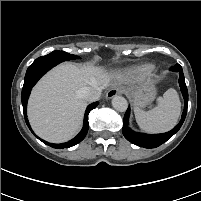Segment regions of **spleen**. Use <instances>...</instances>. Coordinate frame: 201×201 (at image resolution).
<instances>
[{
    "label": "spleen",
    "mask_w": 201,
    "mask_h": 201,
    "mask_svg": "<svg viewBox=\"0 0 201 201\" xmlns=\"http://www.w3.org/2000/svg\"><path fill=\"white\" fill-rule=\"evenodd\" d=\"M157 101V106L149 111H143L137 106L134 107L136 122L144 131L166 132L171 130L178 121L181 102L175 89H168L163 97H159Z\"/></svg>",
    "instance_id": "1"
}]
</instances>
